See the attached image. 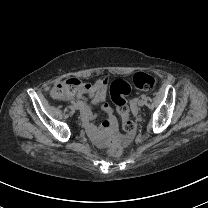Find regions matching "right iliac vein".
<instances>
[{"label":"right iliac vein","mask_w":208,"mask_h":208,"mask_svg":"<svg viewBox=\"0 0 208 208\" xmlns=\"http://www.w3.org/2000/svg\"><path fill=\"white\" fill-rule=\"evenodd\" d=\"M74 108H75L76 110L80 109V107H79L78 104H75V105H74Z\"/></svg>","instance_id":"obj_1"}]
</instances>
